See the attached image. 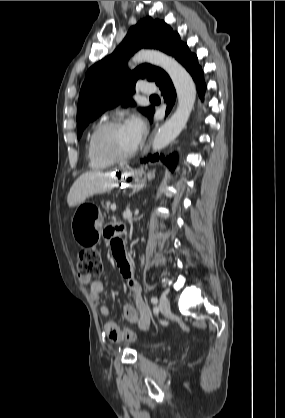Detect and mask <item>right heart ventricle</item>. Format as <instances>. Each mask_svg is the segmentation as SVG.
Listing matches in <instances>:
<instances>
[{
	"label": "right heart ventricle",
	"mask_w": 285,
	"mask_h": 418,
	"mask_svg": "<svg viewBox=\"0 0 285 418\" xmlns=\"http://www.w3.org/2000/svg\"><path fill=\"white\" fill-rule=\"evenodd\" d=\"M95 128L88 134L85 142V155L90 169L102 170L110 167L114 163L100 159L91 149L90 138Z\"/></svg>",
	"instance_id": "e07e8e85"
}]
</instances>
